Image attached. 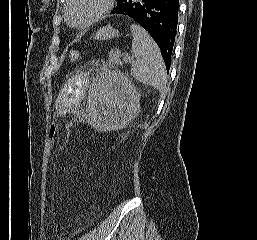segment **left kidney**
Segmentation results:
<instances>
[{
    "label": "left kidney",
    "instance_id": "1",
    "mask_svg": "<svg viewBox=\"0 0 257 240\" xmlns=\"http://www.w3.org/2000/svg\"><path fill=\"white\" fill-rule=\"evenodd\" d=\"M140 95L121 72L112 71L95 79L89 96V124L99 131L125 128L139 113Z\"/></svg>",
    "mask_w": 257,
    "mask_h": 240
}]
</instances>
